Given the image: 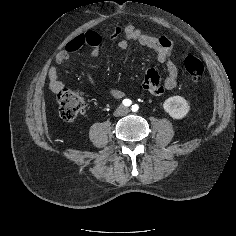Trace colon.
<instances>
[{
	"instance_id": "1",
	"label": "colon",
	"mask_w": 236,
	"mask_h": 236,
	"mask_svg": "<svg viewBox=\"0 0 236 236\" xmlns=\"http://www.w3.org/2000/svg\"><path fill=\"white\" fill-rule=\"evenodd\" d=\"M184 69L194 79L201 78L205 70L202 61L194 56L185 59ZM56 94L62 120L73 121L85 111L86 100L80 92L62 87Z\"/></svg>"
}]
</instances>
